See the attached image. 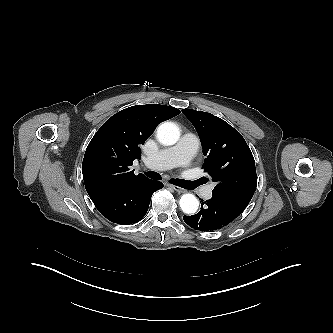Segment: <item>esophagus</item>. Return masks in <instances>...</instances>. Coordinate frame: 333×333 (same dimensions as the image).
Listing matches in <instances>:
<instances>
[{
    "label": "esophagus",
    "mask_w": 333,
    "mask_h": 333,
    "mask_svg": "<svg viewBox=\"0 0 333 333\" xmlns=\"http://www.w3.org/2000/svg\"><path fill=\"white\" fill-rule=\"evenodd\" d=\"M168 186L171 187L172 189H174L175 191L179 192V193H184L185 192V190L183 188H180L178 186H175V185H172V184H169Z\"/></svg>",
    "instance_id": "34e87169"
}]
</instances>
